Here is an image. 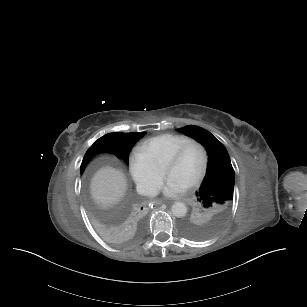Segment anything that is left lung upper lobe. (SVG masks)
Masks as SVG:
<instances>
[{"label": "left lung upper lobe", "instance_id": "left-lung-upper-lobe-1", "mask_svg": "<svg viewBox=\"0 0 307 307\" xmlns=\"http://www.w3.org/2000/svg\"><path fill=\"white\" fill-rule=\"evenodd\" d=\"M200 142L209 155L205 178L196 192L193 214L180 228L193 239H206L224 225L233 201L235 172L224 145L207 130L189 125L178 129Z\"/></svg>", "mask_w": 307, "mask_h": 307}]
</instances>
